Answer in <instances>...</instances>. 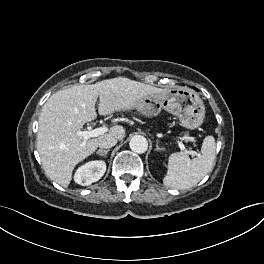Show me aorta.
I'll use <instances>...</instances> for the list:
<instances>
[{
	"label": "aorta",
	"mask_w": 264,
	"mask_h": 264,
	"mask_svg": "<svg viewBox=\"0 0 264 264\" xmlns=\"http://www.w3.org/2000/svg\"><path fill=\"white\" fill-rule=\"evenodd\" d=\"M130 149L136 153H145L148 149V142L145 137L137 135L131 138Z\"/></svg>",
	"instance_id": "762f6f07"
}]
</instances>
